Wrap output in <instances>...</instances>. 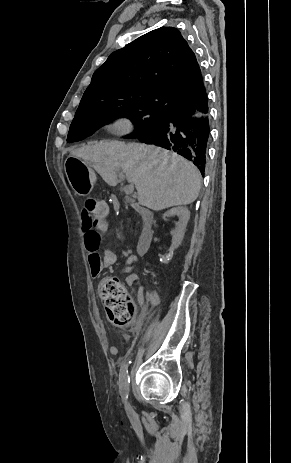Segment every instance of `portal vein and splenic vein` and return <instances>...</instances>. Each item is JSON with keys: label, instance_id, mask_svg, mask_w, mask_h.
<instances>
[{"label": "portal vein and splenic vein", "instance_id": "portal-vein-and-splenic-vein-1", "mask_svg": "<svg viewBox=\"0 0 291 463\" xmlns=\"http://www.w3.org/2000/svg\"><path fill=\"white\" fill-rule=\"evenodd\" d=\"M120 177H123L122 174L119 175ZM124 192L127 194V195H130L134 192V185L133 184H129L127 186L124 187Z\"/></svg>", "mask_w": 291, "mask_h": 463}]
</instances>
